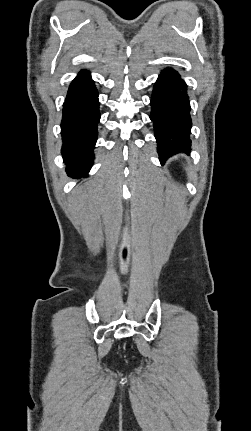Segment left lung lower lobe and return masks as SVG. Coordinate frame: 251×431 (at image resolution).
<instances>
[{
  "label": "left lung lower lobe",
  "mask_w": 251,
  "mask_h": 431,
  "mask_svg": "<svg viewBox=\"0 0 251 431\" xmlns=\"http://www.w3.org/2000/svg\"><path fill=\"white\" fill-rule=\"evenodd\" d=\"M151 115L160 161L191 146L190 102L187 85L178 72L167 68L159 75L151 96Z\"/></svg>",
  "instance_id": "obj_1"
}]
</instances>
